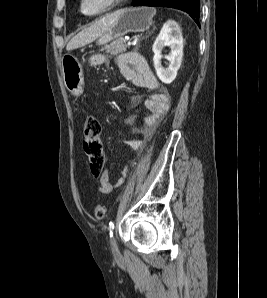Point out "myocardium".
I'll use <instances>...</instances> for the list:
<instances>
[{"label":"myocardium","instance_id":"myocardium-1","mask_svg":"<svg viewBox=\"0 0 267 298\" xmlns=\"http://www.w3.org/2000/svg\"><path fill=\"white\" fill-rule=\"evenodd\" d=\"M124 1L125 0H108L107 4L100 11L95 12V13H87L84 10L85 0H80V11L85 16L97 17V16H101V15L107 13L108 11L112 10L113 8H115L117 5L121 4Z\"/></svg>","mask_w":267,"mask_h":298}]
</instances>
